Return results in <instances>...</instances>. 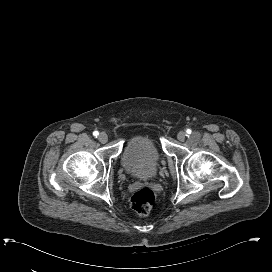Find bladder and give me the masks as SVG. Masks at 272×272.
Returning <instances> with one entry per match:
<instances>
[{
	"label": "bladder",
	"instance_id": "bladder-1",
	"mask_svg": "<svg viewBox=\"0 0 272 272\" xmlns=\"http://www.w3.org/2000/svg\"><path fill=\"white\" fill-rule=\"evenodd\" d=\"M161 159V153L156 142L148 136L139 135L132 138L122 151L124 166L138 178L153 177Z\"/></svg>",
	"mask_w": 272,
	"mask_h": 272
}]
</instances>
